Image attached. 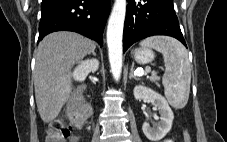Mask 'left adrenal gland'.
<instances>
[{
	"label": "left adrenal gland",
	"mask_w": 227,
	"mask_h": 142,
	"mask_svg": "<svg viewBox=\"0 0 227 142\" xmlns=\"http://www.w3.org/2000/svg\"><path fill=\"white\" fill-rule=\"evenodd\" d=\"M129 79L139 80V78L136 75H134V63H132L131 65Z\"/></svg>",
	"instance_id": "obj_1"
}]
</instances>
